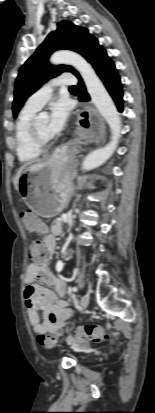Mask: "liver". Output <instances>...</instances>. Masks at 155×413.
Returning <instances> with one entry per match:
<instances>
[{"label":"liver","mask_w":155,"mask_h":413,"mask_svg":"<svg viewBox=\"0 0 155 413\" xmlns=\"http://www.w3.org/2000/svg\"><path fill=\"white\" fill-rule=\"evenodd\" d=\"M31 163H26V164H24L23 166H21L20 167V169L18 170V172H17V174H16V176H15V178H14V187H15V189L16 190H18V181H19V177H20V175H21V173L23 172V170L27 167V166H29Z\"/></svg>","instance_id":"obj_1"}]
</instances>
